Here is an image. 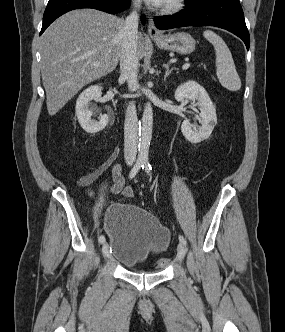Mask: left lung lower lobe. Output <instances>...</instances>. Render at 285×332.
I'll return each mask as SVG.
<instances>
[{"label": "left lung lower lobe", "instance_id": "0a47b994", "mask_svg": "<svg viewBox=\"0 0 285 332\" xmlns=\"http://www.w3.org/2000/svg\"><path fill=\"white\" fill-rule=\"evenodd\" d=\"M181 12L154 19L156 27L164 30L184 26H215L240 37L249 49L250 37L239 0H197L185 2Z\"/></svg>", "mask_w": 285, "mask_h": 332}]
</instances>
